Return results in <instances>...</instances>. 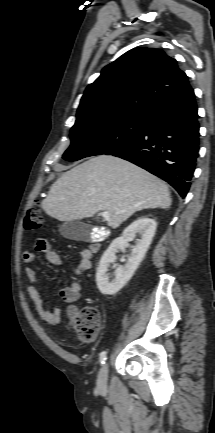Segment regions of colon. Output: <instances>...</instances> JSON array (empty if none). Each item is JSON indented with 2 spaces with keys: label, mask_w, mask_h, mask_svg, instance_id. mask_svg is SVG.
<instances>
[{
  "label": "colon",
  "mask_w": 215,
  "mask_h": 433,
  "mask_svg": "<svg viewBox=\"0 0 215 433\" xmlns=\"http://www.w3.org/2000/svg\"><path fill=\"white\" fill-rule=\"evenodd\" d=\"M43 218L41 208L38 203L32 204L26 212L24 228L26 231H36L42 227ZM100 326L99 311L92 306L84 307L78 316L76 332L79 339L83 342L93 340Z\"/></svg>",
  "instance_id": "colon-1"
}]
</instances>
